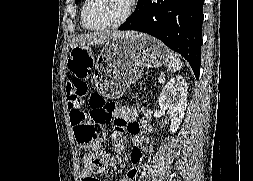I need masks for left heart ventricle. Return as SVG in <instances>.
Masks as SVG:
<instances>
[{
  "mask_svg": "<svg viewBox=\"0 0 253 181\" xmlns=\"http://www.w3.org/2000/svg\"><path fill=\"white\" fill-rule=\"evenodd\" d=\"M128 0H92L86 13L87 22L100 27L119 20L126 12Z\"/></svg>",
  "mask_w": 253,
  "mask_h": 181,
  "instance_id": "obj_1",
  "label": "left heart ventricle"
}]
</instances>
